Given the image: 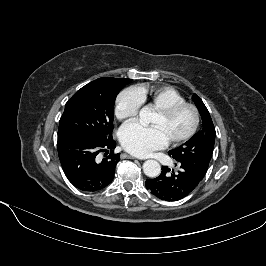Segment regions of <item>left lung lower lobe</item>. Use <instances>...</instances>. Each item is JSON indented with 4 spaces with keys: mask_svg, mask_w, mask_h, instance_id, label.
Segmentation results:
<instances>
[{
    "mask_svg": "<svg viewBox=\"0 0 266 266\" xmlns=\"http://www.w3.org/2000/svg\"><path fill=\"white\" fill-rule=\"evenodd\" d=\"M177 165V164H175ZM178 173L162 167L160 176L146 180V188L156 197L165 201L180 200L189 195L203 179L188 166L179 163Z\"/></svg>",
    "mask_w": 266,
    "mask_h": 266,
    "instance_id": "1",
    "label": "left lung lower lobe"
}]
</instances>
